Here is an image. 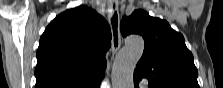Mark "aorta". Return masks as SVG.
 Instances as JSON below:
<instances>
[{
  "instance_id": "762f6f07",
  "label": "aorta",
  "mask_w": 223,
  "mask_h": 88,
  "mask_svg": "<svg viewBox=\"0 0 223 88\" xmlns=\"http://www.w3.org/2000/svg\"><path fill=\"white\" fill-rule=\"evenodd\" d=\"M144 50V41L139 36H131L117 54L111 73L113 88H133V73Z\"/></svg>"
}]
</instances>
